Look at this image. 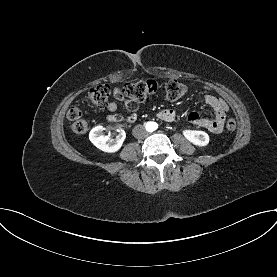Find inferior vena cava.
Masks as SVG:
<instances>
[{"label": "inferior vena cava", "mask_w": 277, "mask_h": 277, "mask_svg": "<svg viewBox=\"0 0 277 277\" xmlns=\"http://www.w3.org/2000/svg\"><path fill=\"white\" fill-rule=\"evenodd\" d=\"M132 134L136 139H143L147 137L148 132L143 125L139 124L133 128Z\"/></svg>", "instance_id": "inferior-vena-cava-1"}]
</instances>
